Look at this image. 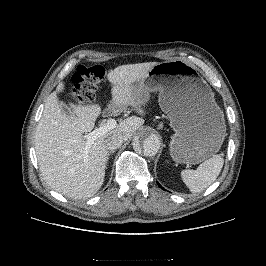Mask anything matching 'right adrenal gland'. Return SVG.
Wrapping results in <instances>:
<instances>
[{
    "instance_id": "1",
    "label": "right adrenal gland",
    "mask_w": 266,
    "mask_h": 266,
    "mask_svg": "<svg viewBox=\"0 0 266 266\" xmlns=\"http://www.w3.org/2000/svg\"><path fill=\"white\" fill-rule=\"evenodd\" d=\"M112 153H114V151H110V152H108V154H107V160L109 159V156H110Z\"/></svg>"
}]
</instances>
